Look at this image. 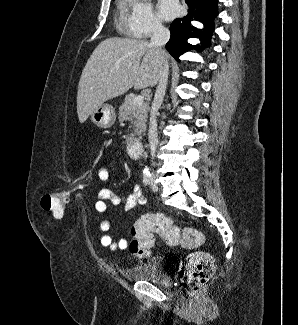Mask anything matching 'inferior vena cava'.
Instances as JSON below:
<instances>
[{
  "label": "inferior vena cava",
  "instance_id": "1",
  "mask_svg": "<svg viewBox=\"0 0 298 325\" xmlns=\"http://www.w3.org/2000/svg\"><path fill=\"white\" fill-rule=\"evenodd\" d=\"M170 36H171V32L169 28L163 26L161 22H157V20H154L150 46H156V48H159L161 52V56H163V64L162 66H160L158 86H156L154 100L152 102V106L150 110L148 140H149V146H150V152L152 158H154L155 156L156 146L158 142L157 114L164 100V96L168 84V74H169L168 52L167 50H165V48H163V46H165L166 42H168Z\"/></svg>",
  "mask_w": 298,
  "mask_h": 325
}]
</instances>
